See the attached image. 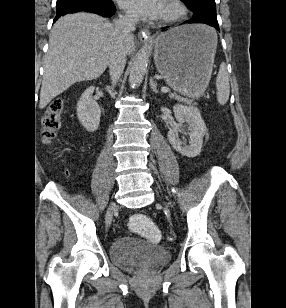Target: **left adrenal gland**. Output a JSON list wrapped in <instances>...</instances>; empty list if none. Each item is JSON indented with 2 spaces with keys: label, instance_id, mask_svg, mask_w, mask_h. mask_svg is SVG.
<instances>
[{
  "label": "left adrenal gland",
  "instance_id": "1",
  "mask_svg": "<svg viewBox=\"0 0 286 308\" xmlns=\"http://www.w3.org/2000/svg\"><path fill=\"white\" fill-rule=\"evenodd\" d=\"M150 88L152 89V91L154 93H156V94L158 93L157 83L154 81L153 77H151V79H150Z\"/></svg>",
  "mask_w": 286,
  "mask_h": 308
}]
</instances>
